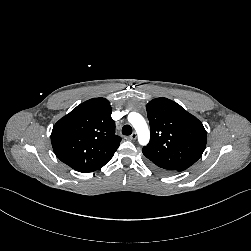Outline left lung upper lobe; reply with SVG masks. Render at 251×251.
Returning <instances> with one entry per match:
<instances>
[{"instance_id":"obj_1","label":"left lung upper lobe","mask_w":251,"mask_h":251,"mask_svg":"<svg viewBox=\"0 0 251 251\" xmlns=\"http://www.w3.org/2000/svg\"><path fill=\"white\" fill-rule=\"evenodd\" d=\"M146 110L151 137L142 152L153 166L181 172L201 157L207 133L195 116L167 98L151 100Z\"/></svg>"}]
</instances>
